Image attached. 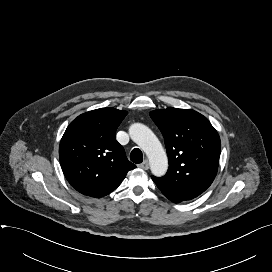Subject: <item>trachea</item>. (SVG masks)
Returning a JSON list of instances; mask_svg holds the SVG:
<instances>
[{"mask_svg": "<svg viewBox=\"0 0 272 272\" xmlns=\"http://www.w3.org/2000/svg\"><path fill=\"white\" fill-rule=\"evenodd\" d=\"M130 160L136 164L142 163L143 155H142V152L139 148H134L131 151Z\"/></svg>", "mask_w": 272, "mask_h": 272, "instance_id": "trachea-1", "label": "trachea"}]
</instances>
